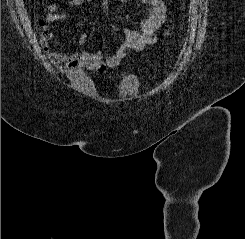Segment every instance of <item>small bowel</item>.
I'll list each match as a JSON object with an SVG mask.
<instances>
[{
  "mask_svg": "<svg viewBox=\"0 0 245 239\" xmlns=\"http://www.w3.org/2000/svg\"><path fill=\"white\" fill-rule=\"evenodd\" d=\"M90 0H70V6H80ZM101 2L107 10L109 0H97ZM147 8V15L139 22L138 29L127 28L124 30V41L119 49L106 59L100 52L91 53L87 51L62 54L55 50L48 52L51 63L62 73L70 74L82 69L95 70L100 74H105L110 69L118 67L127 51H142L156 41L155 32L162 25L166 7L162 0H140ZM68 17L66 12L58 11V5L52 4L48 8V15L45 18V26L50 27ZM87 35L83 34L80 45H85Z\"/></svg>",
  "mask_w": 245,
  "mask_h": 239,
  "instance_id": "small-bowel-1",
  "label": "small bowel"
}]
</instances>
